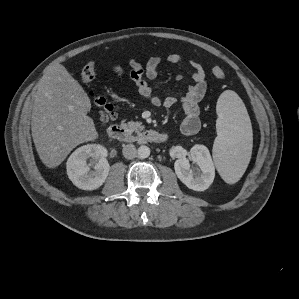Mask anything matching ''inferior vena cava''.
I'll list each match as a JSON object with an SVG mask.
<instances>
[{"label": "inferior vena cava", "mask_w": 299, "mask_h": 299, "mask_svg": "<svg viewBox=\"0 0 299 299\" xmlns=\"http://www.w3.org/2000/svg\"><path fill=\"white\" fill-rule=\"evenodd\" d=\"M122 153L126 159H133L137 155V150L133 144H128L123 147Z\"/></svg>", "instance_id": "obj_1"}]
</instances>
